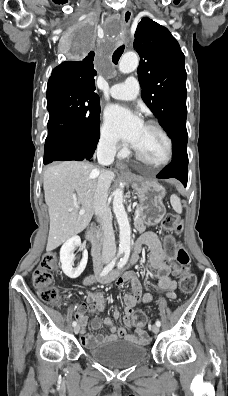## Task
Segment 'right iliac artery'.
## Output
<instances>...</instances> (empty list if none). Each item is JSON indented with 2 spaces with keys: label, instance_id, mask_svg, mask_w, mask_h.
Segmentation results:
<instances>
[{
  "label": "right iliac artery",
  "instance_id": "obj_1",
  "mask_svg": "<svg viewBox=\"0 0 228 396\" xmlns=\"http://www.w3.org/2000/svg\"><path fill=\"white\" fill-rule=\"evenodd\" d=\"M123 253V251H119V253L117 254V256L102 270V272L100 273V276H105L106 274H108L113 267L115 266V263L117 261V259L120 257V255ZM77 322L73 321L72 322V326H76Z\"/></svg>",
  "mask_w": 228,
  "mask_h": 396
}]
</instances>
